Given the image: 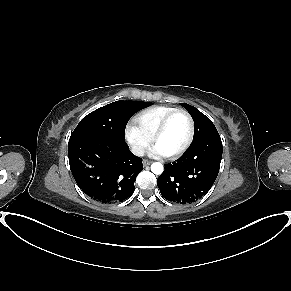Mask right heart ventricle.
I'll list each match as a JSON object with an SVG mask.
<instances>
[{"mask_svg": "<svg viewBox=\"0 0 291 291\" xmlns=\"http://www.w3.org/2000/svg\"><path fill=\"white\" fill-rule=\"evenodd\" d=\"M176 109L170 106H155L137 114L134 121L145 134L152 138L162 120Z\"/></svg>", "mask_w": 291, "mask_h": 291, "instance_id": "e07e8e85", "label": "right heart ventricle"}]
</instances>
